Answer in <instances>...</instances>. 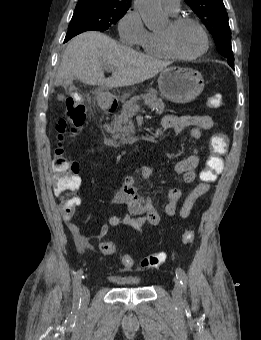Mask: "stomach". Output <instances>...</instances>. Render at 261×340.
I'll list each match as a JSON object with an SVG mask.
<instances>
[{
    "instance_id": "1",
    "label": "stomach",
    "mask_w": 261,
    "mask_h": 340,
    "mask_svg": "<svg viewBox=\"0 0 261 340\" xmlns=\"http://www.w3.org/2000/svg\"><path fill=\"white\" fill-rule=\"evenodd\" d=\"M158 86L161 96L179 104L195 100L204 89V79L200 72L183 67H169L161 71L158 77ZM106 99L112 95L102 93Z\"/></svg>"
}]
</instances>
